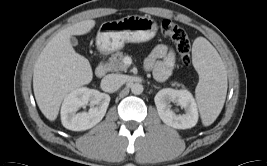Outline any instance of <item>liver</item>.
Masks as SVG:
<instances>
[{
    "mask_svg": "<svg viewBox=\"0 0 267 166\" xmlns=\"http://www.w3.org/2000/svg\"><path fill=\"white\" fill-rule=\"evenodd\" d=\"M95 26L84 20L57 33L40 53L33 72V90L43 115L54 121L60 105L69 92L89 84L93 78L91 65L70 43L72 35H84Z\"/></svg>",
    "mask_w": 267,
    "mask_h": 166,
    "instance_id": "6515ba94",
    "label": "liver"
}]
</instances>
